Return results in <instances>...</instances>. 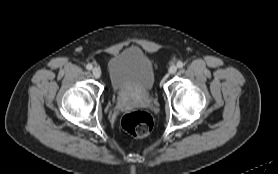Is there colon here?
Returning <instances> with one entry per match:
<instances>
[{"label":"colon","instance_id":"colon-1","mask_svg":"<svg viewBox=\"0 0 278 174\" xmlns=\"http://www.w3.org/2000/svg\"><path fill=\"white\" fill-rule=\"evenodd\" d=\"M123 129L135 138L147 136L153 128V118L145 110H134L123 116Z\"/></svg>","mask_w":278,"mask_h":174}]
</instances>
